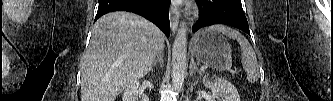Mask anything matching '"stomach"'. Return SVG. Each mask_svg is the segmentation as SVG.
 I'll use <instances>...</instances> for the list:
<instances>
[{
    "mask_svg": "<svg viewBox=\"0 0 333 101\" xmlns=\"http://www.w3.org/2000/svg\"><path fill=\"white\" fill-rule=\"evenodd\" d=\"M191 53L197 61L221 68L230 60L231 47L219 32L205 29L194 35Z\"/></svg>",
    "mask_w": 333,
    "mask_h": 101,
    "instance_id": "obj_1",
    "label": "stomach"
}]
</instances>
